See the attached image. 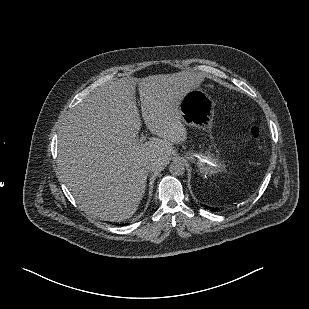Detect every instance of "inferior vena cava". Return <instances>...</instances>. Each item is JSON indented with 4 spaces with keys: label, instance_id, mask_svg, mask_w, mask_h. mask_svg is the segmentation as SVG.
I'll use <instances>...</instances> for the list:
<instances>
[{
    "label": "inferior vena cava",
    "instance_id": "602c4592",
    "mask_svg": "<svg viewBox=\"0 0 309 309\" xmlns=\"http://www.w3.org/2000/svg\"><path fill=\"white\" fill-rule=\"evenodd\" d=\"M161 165H162V163L153 162V163L150 165L149 169H150V171H154L155 169L160 168Z\"/></svg>",
    "mask_w": 309,
    "mask_h": 309
}]
</instances>
